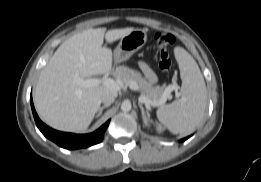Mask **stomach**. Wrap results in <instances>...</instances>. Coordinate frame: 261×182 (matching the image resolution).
I'll return each mask as SVG.
<instances>
[{
	"label": "stomach",
	"mask_w": 261,
	"mask_h": 182,
	"mask_svg": "<svg viewBox=\"0 0 261 182\" xmlns=\"http://www.w3.org/2000/svg\"><path fill=\"white\" fill-rule=\"evenodd\" d=\"M147 41V33L143 29H134L121 38L114 49L113 59L115 64L128 60L135 52L140 50Z\"/></svg>",
	"instance_id": "0dacf381"
}]
</instances>
